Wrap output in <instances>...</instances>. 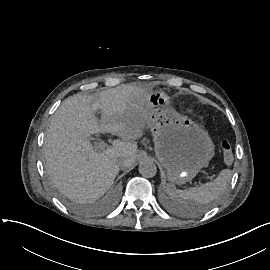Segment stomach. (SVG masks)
<instances>
[{
  "label": "stomach",
  "mask_w": 270,
  "mask_h": 270,
  "mask_svg": "<svg viewBox=\"0 0 270 270\" xmlns=\"http://www.w3.org/2000/svg\"><path fill=\"white\" fill-rule=\"evenodd\" d=\"M146 96L151 111L146 122L153 135L155 157L170 182L186 184L208 166L214 156V144L193 120L165 109V93L149 92Z\"/></svg>",
  "instance_id": "stomach-1"
}]
</instances>
